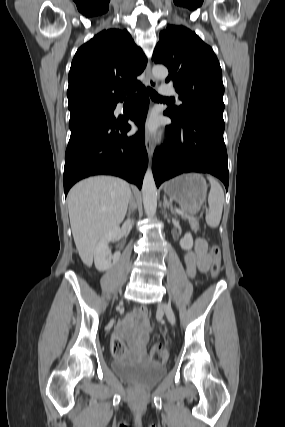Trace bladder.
Instances as JSON below:
<instances>
[{
	"label": "bladder",
	"instance_id": "31cf9c89",
	"mask_svg": "<svg viewBox=\"0 0 285 427\" xmlns=\"http://www.w3.org/2000/svg\"><path fill=\"white\" fill-rule=\"evenodd\" d=\"M114 370L125 380L138 382L145 386L153 385L166 373L163 366L142 361L118 362L114 365Z\"/></svg>",
	"mask_w": 285,
	"mask_h": 427
}]
</instances>
